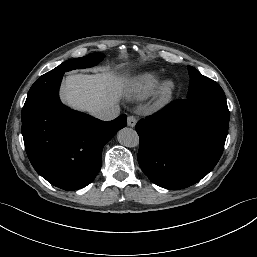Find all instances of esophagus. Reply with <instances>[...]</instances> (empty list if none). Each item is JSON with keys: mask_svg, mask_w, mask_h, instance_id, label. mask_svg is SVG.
Returning a JSON list of instances; mask_svg holds the SVG:
<instances>
[{"mask_svg": "<svg viewBox=\"0 0 257 257\" xmlns=\"http://www.w3.org/2000/svg\"><path fill=\"white\" fill-rule=\"evenodd\" d=\"M136 122H137V120H136V117H135L134 115L128 116V118H127V124H128V126H130V127H135Z\"/></svg>", "mask_w": 257, "mask_h": 257, "instance_id": "obj_1", "label": "esophagus"}]
</instances>
